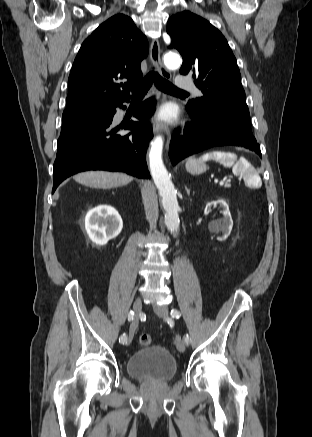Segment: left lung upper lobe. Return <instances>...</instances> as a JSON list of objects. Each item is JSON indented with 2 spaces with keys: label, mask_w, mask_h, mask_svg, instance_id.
I'll return each mask as SVG.
<instances>
[{
  "label": "left lung upper lobe",
  "mask_w": 312,
  "mask_h": 437,
  "mask_svg": "<svg viewBox=\"0 0 312 437\" xmlns=\"http://www.w3.org/2000/svg\"><path fill=\"white\" fill-rule=\"evenodd\" d=\"M167 33L172 38L170 48L183 57L180 73L192 75L203 93L186 109L226 120L254 139L236 58L221 32L202 17L183 11L168 20Z\"/></svg>",
  "instance_id": "5c2ea615"
}]
</instances>
